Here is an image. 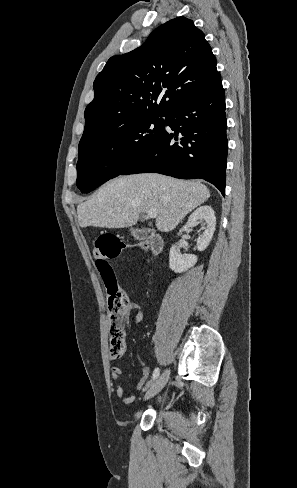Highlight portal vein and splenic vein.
Listing matches in <instances>:
<instances>
[{"label": "portal vein and splenic vein", "mask_w": 297, "mask_h": 488, "mask_svg": "<svg viewBox=\"0 0 297 488\" xmlns=\"http://www.w3.org/2000/svg\"><path fill=\"white\" fill-rule=\"evenodd\" d=\"M146 214L150 218H156L157 217V210L156 209H150L146 211Z\"/></svg>", "instance_id": "18ae733b"}]
</instances>
